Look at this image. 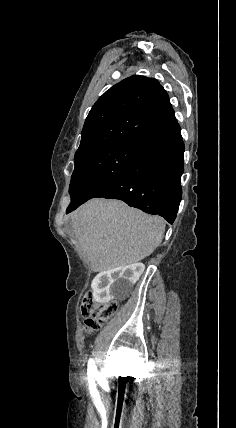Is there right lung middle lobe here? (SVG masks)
Returning a JSON list of instances; mask_svg holds the SVG:
<instances>
[{"label": "right lung middle lobe", "mask_w": 236, "mask_h": 428, "mask_svg": "<svg viewBox=\"0 0 236 428\" xmlns=\"http://www.w3.org/2000/svg\"><path fill=\"white\" fill-rule=\"evenodd\" d=\"M139 148V140H126L75 162L68 210L94 198L129 165Z\"/></svg>", "instance_id": "right-lung-middle-lobe-1"}]
</instances>
